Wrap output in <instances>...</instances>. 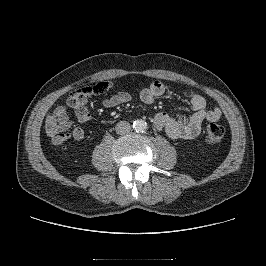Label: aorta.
<instances>
[{
  "label": "aorta",
  "instance_id": "aorta-1",
  "mask_svg": "<svg viewBox=\"0 0 266 266\" xmlns=\"http://www.w3.org/2000/svg\"><path fill=\"white\" fill-rule=\"evenodd\" d=\"M133 129L135 132H144L147 129V123L142 119L135 120L133 122Z\"/></svg>",
  "mask_w": 266,
  "mask_h": 266
}]
</instances>
